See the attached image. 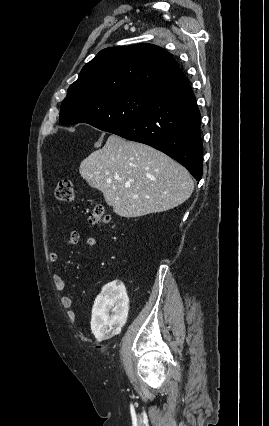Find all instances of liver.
Masks as SVG:
<instances>
[{
	"instance_id": "obj_1",
	"label": "liver",
	"mask_w": 269,
	"mask_h": 426,
	"mask_svg": "<svg viewBox=\"0 0 269 426\" xmlns=\"http://www.w3.org/2000/svg\"><path fill=\"white\" fill-rule=\"evenodd\" d=\"M79 172L103 193L116 214L126 218L173 209L194 189L190 173L172 158L115 134L81 162Z\"/></svg>"
}]
</instances>
